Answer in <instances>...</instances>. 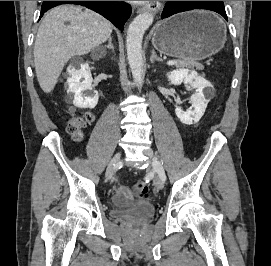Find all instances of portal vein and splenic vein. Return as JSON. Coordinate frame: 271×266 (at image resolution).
I'll return each mask as SVG.
<instances>
[{"label": "portal vein and splenic vein", "instance_id": "portal-vein-and-splenic-vein-1", "mask_svg": "<svg viewBox=\"0 0 271 266\" xmlns=\"http://www.w3.org/2000/svg\"><path fill=\"white\" fill-rule=\"evenodd\" d=\"M175 64H177V61H174V60L167 61V65H169V66H172V65H175Z\"/></svg>", "mask_w": 271, "mask_h": 266}]
</instances>
